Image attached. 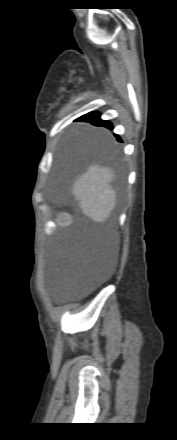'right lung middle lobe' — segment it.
<instances>
[{"instance_id": "right-lung-middle-lobe-1", "label": "right lung middle lobe", "mask_w": 177, "mask_h": 440, "mask_svg": "<svg viewBox=\"0 0 177 440\" xmlns=\"http://www.w3.org/2000/svg\"><path fill=\"white\" fill-rule=\"evenodd\" d=\"M88 143H89V145H91V146H96V147H101L102 145H103V142L100 140V139H98V138H91L89 141H88Z\"/></svg>"}]
</instances>
